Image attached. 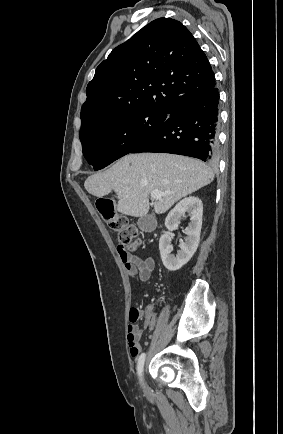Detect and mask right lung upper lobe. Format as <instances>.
Returning <instances> with one entry per match:
<instances>
[{"instance_id":"obj_1","label":"right lung upper lobe","mask_w":283,"mask_h":434,"mask_svg":"<svg viewBox=\"0 0 283 434\" xmlns=\"http://www.w3.org/2000/svg\"><path fill=\"white\" fill-rule=\"evenodd\" d=\"M214 86L207 56L190 31L177 20L159 18L97 67L86 89L81 130L134 110L170 113Z\"/></svg>"}]
</instances>
